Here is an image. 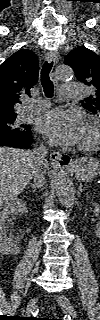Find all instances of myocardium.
<instances>
[{
  "label": "myocardium",
  "instance_id": "obj_1",
  "mask_svg": "<svg viewBox=\"0 0 100 320\" xmlns=\"http://www.w3.org/2000/svg\"><path fill=\"white\" fill-rule=\"evenodd\" d=\"M84 128L89 131L90 137L88 140L81 142L78 148L82 151H89L98 145L100 141V131L97 123L92 120H87L84 124Z\"/></svg>",
  "mask_w": 100,
  "mask_h": 320
}]
</instances>
